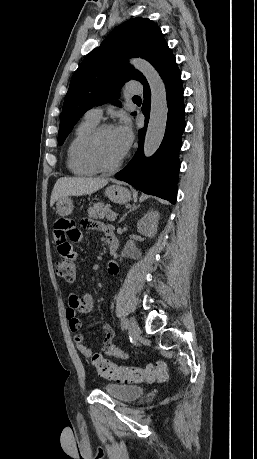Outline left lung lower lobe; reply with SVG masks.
<instances>
[{
    "mask_svg": "<svg viewBox=\"0 0 257 459\" xmlns=\"http://www.w3.org/2000/svg\"><path fill=\"white\" fill-rule=\"evenodd\" d=\"M157 71L165 83L168 104V118L163 141L152 157H144L143 143L151 103L150 88L145 82L142 105L145 126L139 130V147L133 159L115 177L146 194L158 196L175 204L180 168L178 153L181 148V136L185 129V106L181 73L172 52L167 55Z\"/></svg>",
    "mask_w": 257,
    "mask_h": 459,
    "instance_id": "left-lung-lower-lobe-1",
    "label": "left lung lower lobe"
}]
</instances>
